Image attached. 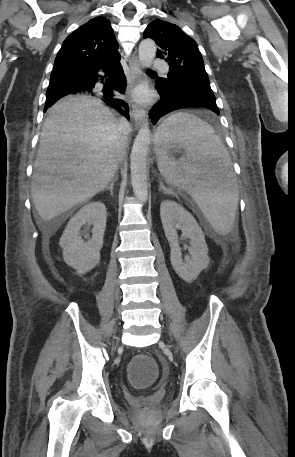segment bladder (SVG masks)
I'll return each instance as SVG.
<instances>
[{
    "label": "bladder",
    "instance_id": "1",
    "mask_svg": "<svg viewBox=\"0 0 295 457\" xmlns=\"http://www.w3.org/2000/svg\"><path fill=\"white\" fill-rule=\"evenodd\" d=\"M144 409L145 410H150L151 409V404L150 403H145L144 404Z\"/></svg>",
    "mask_w": 295,
    "mask_h": 457
}]
</instances>
